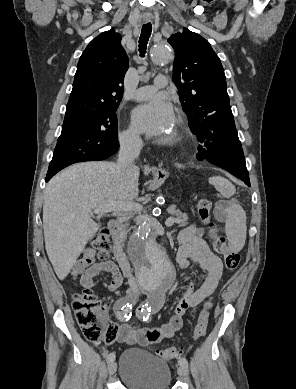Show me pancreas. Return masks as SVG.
<instances>
[{
    "label": "pancreas",
    "instance_id": "1",
    "mask_svg": "<svg viewBox=\"0 0 296 389\" xmlns=\"http://www.w3.org/2000/svg\"><path fill=\"white\" fill-rule=\"evenodd\" d=\"M167 211L176 217L174 223L177 224L178 227H185L188 224L187 214L177 211L174 206H169ZM128 226V224H123L120 228V236L123 240L126 239L127 233L129 232Z\"/></svg>",
    "mask_w": 296,
    "mask_h": 389
}]
</instances>
